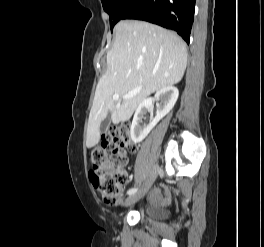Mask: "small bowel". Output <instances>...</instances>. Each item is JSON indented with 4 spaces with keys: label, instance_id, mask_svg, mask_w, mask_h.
<instances>
[{
    "label": "small bowel",
    "instance_id": "obj_1",
    "mask_svg": "<svg viewBox=\"0 0 264 247\" xmlns=\"http://www.w3.org/2000/svg\"><path fill=\"white\" fill-rule=\"evenodd\" d=\"M170 196L171 194L169 191L157 188L149 195V201L166 203L170 200Z\"/></svg>",
    "mask_w": 264,
    "mask_h": 247
}]
</instances>
